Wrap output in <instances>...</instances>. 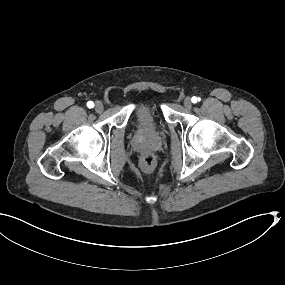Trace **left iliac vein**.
<instances>
[{"instance_id":"obj_1","label":"left iliac vein","mask_w":285,"mask_h":285,"mask_svg":"<svg viewBox=\"0 0 285 285\" xmlns=\"http://www.w3.org/2000/svg\"><path fill=\"white\" fill-rule=\"evenodd\" d=\"M184 106L187 109H191L192 108V101H191V99L189 97L185 98Z\"/></svg>"}]
</instances>
